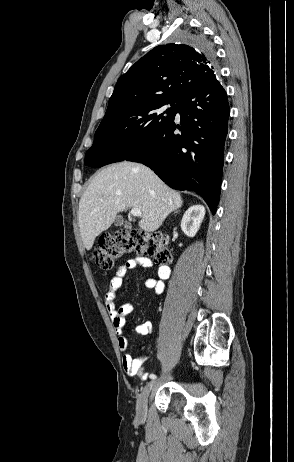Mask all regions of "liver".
Masks as SVG:
<instances>
[{
    "mask_svg": "<svg viewBox=\"0 0 294 462\" xmlns=\"http://www.w3.org/2000/svg\"><path fill=\"white\" fill-rule=\"evenodd\" d=\"M182 204L181 195L148 167L127 161L112 164L93 178L79 201L78 220L84 247L91 250L95 238L127 208L140 209L139 227L154 232Z\"/></svg>",
    "mask_w": 294,
    "mask_h": 462,
    "instance_id": "obj_1",
    "label": "liver"
}]
</instances>
